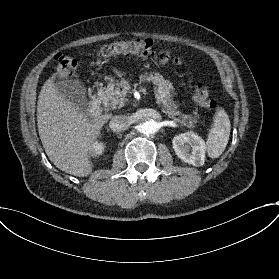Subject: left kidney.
I'll return each instance as SVG.
<instances>
[{
  "label": "left kidney",
  "instance_id": "left-kidney-1",
  "mask_svg": "<svg viewBox=\"0 0 279 279\" xmlns=\"http://www.w3.org/2000/svg\"><path fill=\"white\" fill-rule=\"evenodd\" d=\"M176 155L184 162L199 167L204 165L205 141L192 131L179 134L172 140Z\"/></svg>",
  "mask_w": 279,
  "mask_h": 279
}]
</instances>
